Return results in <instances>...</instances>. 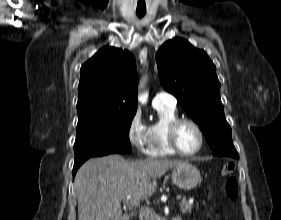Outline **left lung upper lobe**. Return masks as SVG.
Here are the masks:
<instances>
[{"instance_id":"obj_1","label":"left lung upper lobe","mask_w":281,"mask_h":220,"mask_svg":"<svg viewBox=\"0 0 281 220\" xmlns=\"http://www.w3.org/2000/svg\"><path fill=\"white\" fill-rule=\"evenodd\" d=\"M156 60L161 85L200 126L213 155L236 158L216 67L207 53L185 39L174 38L161 46Z\"/></svg>"}]
</instances>
